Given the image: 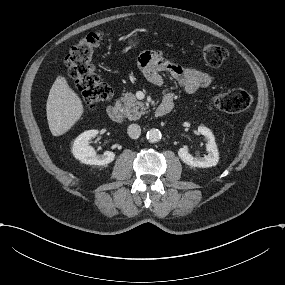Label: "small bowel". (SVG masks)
<instances>
[{
    "label": "small bowel",
    "instance_id": "obj_1",
    "mask_svg": "<svg viewBox=\"0 0 285 285\" xmlns=\"http://www.w3.org/2000/svg\"><path fill=\"white\" fill-rule=\"evenodd\" d=\"M139 68L145 78L154 85L163 83L162 72L169 73L187 93L207 88L214 78L194 67L179 63L162 51H146L139 57ZM173 98L171 93L165 95Z\"/></svg>",
    "mask_w": 285,
    "mask_h": 285
}]
</instances>
